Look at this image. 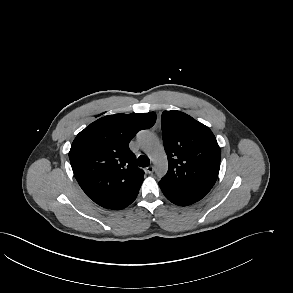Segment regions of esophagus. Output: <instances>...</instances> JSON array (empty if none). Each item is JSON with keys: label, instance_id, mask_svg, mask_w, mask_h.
Segmentation results:
<instances>
[{"label": "esophagus", "instance_id": "esophagus-1", "mask_svg": "<svg viewBox=\"0 0 293 293\" xmlns=\"http://www.w3.org/2000/svg\"><path fill=\"white\" fill-rule=\"evenodd\" d=\"M146 172L149 173V174H152L154 172V167L153 166H148L146 168Z\"/></svg>", "mask_w": 293, "mask_h": 293}]
</instances>
